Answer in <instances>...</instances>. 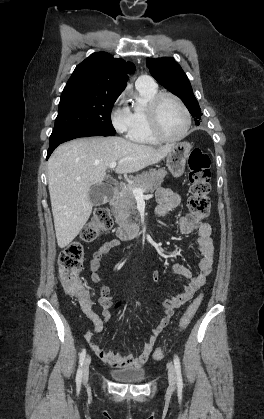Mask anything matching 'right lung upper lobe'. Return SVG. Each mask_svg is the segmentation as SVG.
I'll use <instances>...</instances> for the list:
<instances>
[{"instance_id": "1", "label": "right lung upper lobe", "mask_w": 264, "mask_h": 419, "mask_svg": "<svg viewBox=\"0 0 264 419\" xmlns=\"http://www.w3.org/2000/svg\"><path fill=\"white\" fill-rule=\"evenodd\" d=\"M134 70L131 62L115 59L106 52H96L77 65L65 88L81 86L92 91L121 94L126 87L127 74Z\"/></svg>"}]
</instances>
